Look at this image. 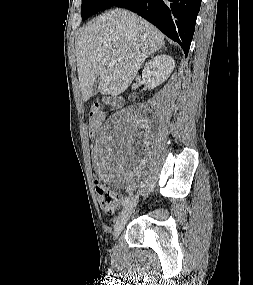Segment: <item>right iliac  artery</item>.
<instances>
[{
	"label": "right iliac artery",
	"mask_w": 253,
	"mask_h": 285,
	"mask_svg": "<svg viewBox=\"0 0 253 285\" xmlns=\"http://www.w3.org/2000/svg\"><path fill=\"white\" fill-rule=\"evenodd\" d=\"M129 201H130V197L128 196V197H125V199L123 200V202H122V206L124 207V206H126L128 203H129Z\"/></svg>",
	"instance_id": "82829eb1"
}]
</instances>
